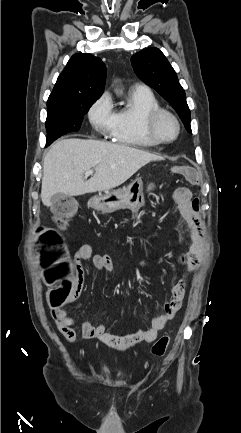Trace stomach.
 I'll return each mask as SVG.
<instances>
[{
	"label": "stomach",
	"mask_w": 241,
	"mask_h": 433,
	"mask_svg": "<svg viewBox=\"0 0 241 433\" xmlns=\"http://www.w3.org/2000/svg\"><path fill=\"white\" fill-rule=\"evenodd\" d=\"M154 190L155 185L150 184L146 191L149 195H155ZM144 202L143 182L141 178H138L126 188L100 192L99 195L90 199L89 204L96 210L110 213L123 206L135 210L144 205Z\"/></svg>",
	"instance_id": "obj_1"
}]
</instances>
